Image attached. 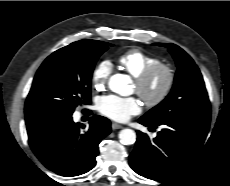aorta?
Listing matches in <instances>:
<instances>
[{"label":"aorta","mask_w":230,"mask_h":186,"mask_svg":"<svg viewBox=\"0 0 230 186\" xmlns=\"http://www.w3.org/2000/svg\"><path fill=\"white\" fill-rule=\"evenodd\" d=\"M130 83V79L123 74H115L109 80V88L120 95H124L127 90V86ZM120 142L124 145L134 144L136 141V133L130 128H126L119 133Z\"/></svg>","instance_id":"762f6f07"}]
</instances>
